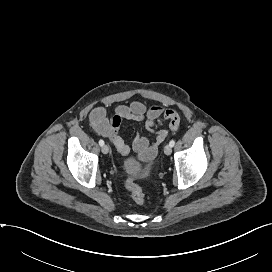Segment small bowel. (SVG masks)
Listing matches in <instances>:
<instances>
[{
    "label": "small bowel",
    "instance_id": "c3829d8e",
    "mask_svg": "<svg viewBox=\"0 0 272 272\" xmlns=\"http://www.w3.org/2000/svg\"><path fill=\"white\" fill-rule=\"evenodd\" d=\"M116 116L120 119V122L121 120H130L143 123L147 130L156 134L153 141L142 134H138L132 142V148L137 153L138 158L145 161H152L156 157L159 146L168 135L167 130L161 129L159 126L163 122H168L170 130L173 132H176L180 126V116L176 110L160 105L148 107L138 101L129 105H120L116 110ZM97 130L101 135L109 138L120 155H129L130 147L120 135V124L114 125L106 122L98 126Z\"/></svg>",
    "mask_w": 272,
    "mask_h": 272
}]
</instances>
